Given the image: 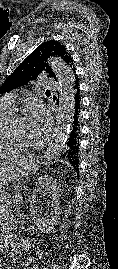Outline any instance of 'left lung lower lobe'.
I'll return each instance as SVG.
<instances>
[{"mask_svg":"<svg viewBox=\"0 0 118 269\" xmlns=\"http://www.w3.org/2000/svg\"><path fill=\"white\" fill-rule=\"evenodd\" d=\"M74 88V103H73V126L70 135L67 138L65 147L62 151V156L68 158V161L74 167L78 168L79 164V114H80V93L79 83L73 86Z\"/></svg>","mask_w":118,"mask_h":269,"instance_id":"obj_1","label":"left lung lower lobe"}]
</instances>
